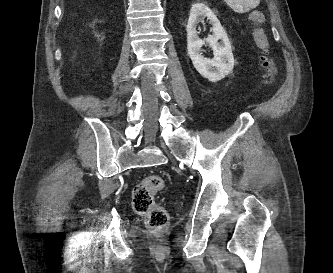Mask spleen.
Instances as JSON below:
<instances>
[{
  "instance_id": "3e777b00",
  "label": "spleen",
  "mask_w": 333,
  "mask_h": 273,
  "mask_svg": "<svg viewBox=\"0 0 333 273\" xmlns=\"http://www.w3.org/2000/svg\"><path fill=\"white\" fill-rule=\"evenodd\" d=\"M233 11L237 13H245L256 8L260 0H224Z\"/></svg>"
}]
</instances>
